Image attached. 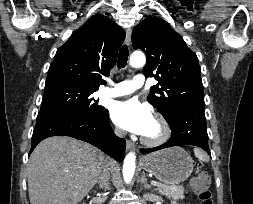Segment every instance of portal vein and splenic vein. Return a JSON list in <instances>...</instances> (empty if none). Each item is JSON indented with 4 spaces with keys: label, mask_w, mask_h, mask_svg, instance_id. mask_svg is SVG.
<instances>
[{
    "label": "portal vein and splenic vein",
    "mask_w": 253,
    "mask_h": 204,
    "mask_svg": "<svg viewBox=\"0 0 253 204\" xmlns=\"http://www.w3.org/2000/svg\"><path fill=\"white\" fill-rule=\"evenodd\" d=\"M153 186H157V187H165V185H163V184H161V183H159V182H157V181H151L150 182Z\"/></svg>",
    "instance_id": "portal-vein-and-splenic-vein-1"
}]
</instances>
